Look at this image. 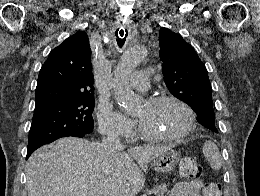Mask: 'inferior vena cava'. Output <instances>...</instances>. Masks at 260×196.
Returning <instances> with one entry per match:
<instances>
[{
	"mask_svg": "<svg viewBox=\"0 0 260 196\" xmlns=\"http://www.w3.org/2000/svg\"><path fill=\"white\" fill-rule=\"evenodd\" d=\"M102 146H105L111 154H118V152H121L124 148L119 136H107V138H103Z\"/></svg>",
	"mask_w": 260,
	"mask_h": 196,
	"instance_id": "inferior-vena-cava-1",
	"label": "inferior vena cava"
}]
</instances>
